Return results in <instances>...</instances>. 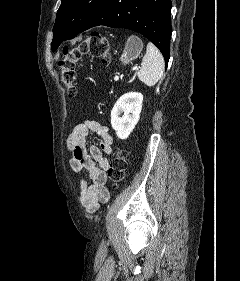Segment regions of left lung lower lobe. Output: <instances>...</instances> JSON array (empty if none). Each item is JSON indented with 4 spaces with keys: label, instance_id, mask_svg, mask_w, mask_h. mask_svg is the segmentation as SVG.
Returning a JSON list of instances; mask_svg holds the SVG:
<instances>
[{
    "label": "left lung lower lobe",
    "instance_id": "obj_1",
    "mask_svg": "<svg viewBox=\"0 0 240 281\" xmlns=\"http://www.w3.org/2000/svg\"><path fill=\"white\" fill-rule=\"evenodd\" d=\"M171 0H104L80 32L104 25L136 31L161 51L169 61Z\"/></svg>",
    "mask_w": 240,
    "mask_h": 281
}]
</instances>
